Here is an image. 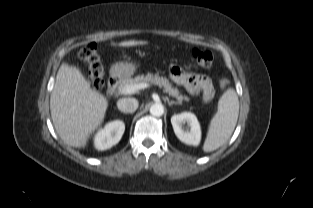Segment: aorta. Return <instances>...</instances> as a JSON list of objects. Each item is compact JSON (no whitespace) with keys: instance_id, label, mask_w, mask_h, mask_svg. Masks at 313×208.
<instances>
[{"instance_id":"762f6f07","label":"aorta","mask_w":313,"mask_h":208,"mask_svg":"<svg viewBox=\"0 0 313 208\" xmlns=\"http://www.w3.org/2000/svg\"><path fill=\"white\" fill-rule=\"evenodd\" d=\"M150 113L153 116L156 117H160L163 115L164 113V106L162 105V103H154L151 107H150Z\"/></svg>"}]
</instances>
